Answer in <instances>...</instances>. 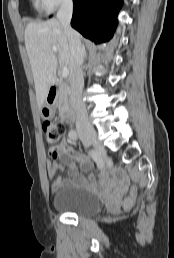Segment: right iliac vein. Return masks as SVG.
I'll use <instances>...</instances> for the list:
<instances>
[{"instance_id": "right-iliac-vein-1", "label": "right iliac vein", "mask_w": 174, "mask_h": 258, "mask_svg": "<svg viewBox=\"0 0 174 258\" xmlns=\"http://www.w3.org/2000/svg\"><path fill=\"white\" fill-rule=\"evenodd\" d=\"M84 138L90 143H93L96 149L100 152H104V147L98 141L97 133L95 131H90L84 135Z\"/></svg>"}]
</instances>
